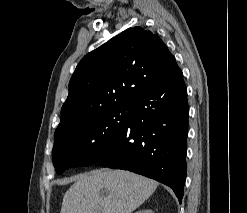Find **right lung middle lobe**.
<instances>
[{"instance_id": "dd1d6c3e", "label": "right lung middle lobe", "mask_w": 247, "mask_h": 213, "mask_svg": "<svg viewBox=\"0 0 247 213\" xmlns=\"http://www.w3.org/2000/svg\"><path fill=\"white\" fill-rule=\"evenodd\" d=\"M131 111L130 102H123L55 137L53 165L57 174L69 167L96 163L109 149L116 132L127 123Z\"/></svg>"}]
</instances>
